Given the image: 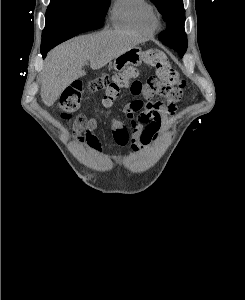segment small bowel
<instances>
[{
  "instance_id": "obj_1",
  "label": "small bowel",
  "mask_w": 245,
  "mask_h": 300,
  "mask_svg": "<svg viewBox=\"0 0 245 300\" xmlns=\"http://www.w3.org/2000/svg\"><path fill=\"white\" fill-rule=\"evenodd\" d=\"M131 93L144 98V101L140 100L142 106L135 109L131 104L133 101L125 106L124 112L129 120V126L112 116L111 131L117 145L121 147L130 145L134 152H142L157 140L170 117L176 112L177 106L176 102L153 101L154 93L141 82L138 89ZM95 128V120L79 116L73 126V135L78 142L100 151L101 144L93 133Z\"/></svg>"
}]
</instances>
